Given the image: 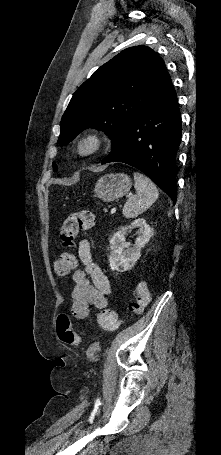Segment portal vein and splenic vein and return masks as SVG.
<instances>
[{"mask_svg": "<svg viewBox=\"0 0 221 455\" xmlns=\"http://www.w3.org/2000/svg\"><path fill=\"white\" fill-rule=\"evenodd\" d=\"M116 212V208L111 209V214H114Z\"/></svg>", "mask_w": 221, "mask_h": 455, "instance_id": "18ae733b", "label": "portal vein and splenic vein"}]
</instances>
